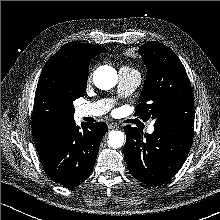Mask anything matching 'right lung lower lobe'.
<instances>
[{"label":"right lung lower lobe","instance_id":"1","mask_svg":"<svg viewBox=\"0 0 220 220\" xmlns=\"http://www.w3.org/2000/svg\"><path fill=\"white\" fill-rule=\"evenodd\" d=\"M107 130L103 122L82 124L80 128L73 121L35 142L46 174L64 187L82 183L93 170Z\"/></svg>","mask_w":220,"mask_h":220}]
</instances>
